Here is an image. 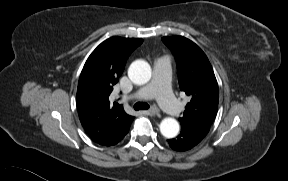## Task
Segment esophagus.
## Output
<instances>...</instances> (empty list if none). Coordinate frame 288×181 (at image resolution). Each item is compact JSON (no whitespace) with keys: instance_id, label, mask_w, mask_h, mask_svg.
<instances>
[{"instance_id":"1","label":"esophagus","mask_w":288,"mask_h":181,"mask_svg":"<svg viewBox=\"0 0 288 181\" xmlns=\"http://www.w3.org/2000/svg\"><path fill=\"white\" fill-rule=\"evenodd\" d=\"M147 113L151 116H155V115H158L159 114V110L157 107H152L151 109H149L147 111Z\"/></svg>"}]
</instances>
